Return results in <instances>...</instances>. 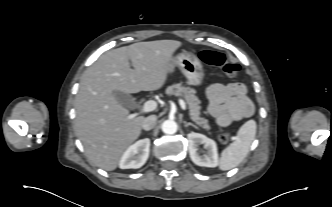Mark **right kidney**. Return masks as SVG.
Here are the masks:
<instances>
[{
    "instance_id": "right-kidney-1",
    "label": "right kidney",
    "mask_w": 332,
    "mask_h": 207,
    "mask_svg": "<svg viewBox=\"0 0 332 207\" xmlns=\"http://www.w3.org/2000/svg\"><path fill=\"white\" fill-rule=\"evenodd\" d=\"M150 139L145 138L131 145L122 155L119 167L121 169H137L142 167L149 157Z\"/></svg>"
}]
</instances>
